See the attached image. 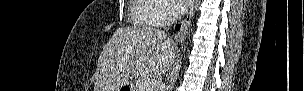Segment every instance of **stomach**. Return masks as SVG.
<instances>
[{
  "mask_svg": "<svg viewBox=\"0 0 304 91\" xmlns=\"http://www.w3.org/2000/svg\"><path fill=\"white\" fill-rule=\"evenodd\" d=\"M120 90L135 91V89H134L133 87L129 86V85H124V86H122V87L119 89V91H120Z\"/></svg>",
  "mask_w": 304,
  "mask_h": 91,
  "instance_id": "stomach-1",
  "label": "stomach"
}]
</instances>
